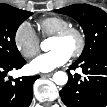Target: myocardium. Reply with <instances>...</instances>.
<instances>
[{"label":"myocardium","instance_id":"obj_1","mask_svg":"<svg viewBox=\"0 0 107 107\" xmlns=\"http://www.w3.org/2000/svg\"><path fill=\"white\" fill-rule=\"evenodd\" d=\"M72 34H75L78 37V45L75 48V50L70 54V56L72 58H77L83 53V51L86 47V36H85L84 31L81 28L72 26V25L68 26V27L58 31L57 33H55L53 35V38L62 40Z\"/></svg>","mask_w":107,"mask_h":107}]
</instances>
